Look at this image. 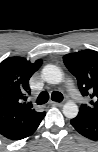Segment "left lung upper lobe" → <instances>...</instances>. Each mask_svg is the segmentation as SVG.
Segmentation results:
<instances>
[{
	"instance_id": "obj_1",
	"label": "left lung upper lobe",
	"mask_w": 98,
	"mask_h": 152,
	"mask_svg": "<svg viewBox=\"0 0 98 152\" xmlns=\"http://www.w3.org/2000/svg\"><path fill=\"white\" fill-rule=\"evenodd\" d=\"M68 70L76 77L83 96L91 101L82 104L78 116L98 122V52L82 50L63 57Z\"/></svg>"
}]
</instances>
